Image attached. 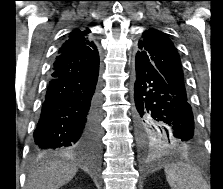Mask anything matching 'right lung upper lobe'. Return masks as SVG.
Segmentation results:
<instances>
[{
	"instance_id": "1",
	"label": "right lung upper lobe",
	"mask_w": 223,
	"mask_h": 189,
	"mask_svg": "<svg viewBox=\"0 0 223 189\" xmlns=\"http://www.w3.org/2000/svg\"><path fill=\"white\" fill-rule=\"evenodd\" d=\"M89 29H75L58 51L51 78L81 77L99 69V55Z\"/></svg>"
}]
</instances>
